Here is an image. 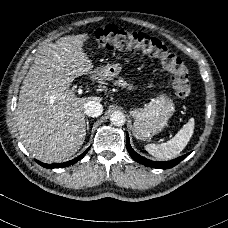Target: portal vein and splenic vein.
I'll return each mask as SVG.
<instances>
[{
    "label": "portal vein and splenic vein",
    "instance_id": "portal-vein-and-splenic-vein-1",
    "mask_svg": "<svg viewBox=\"0 0 228 228\" xmlns=\"http://www.w3.org/2000/svg\"><path fill=\"white\" fill-rule=\"evenodd\" d=\"M74 92L79 95V96H82L84 94V91H83V88L80 87V86H75L74 87Z\"/></svg>",
    "mask_w": 228,
    "mask_h": 228
}]
</instances>
